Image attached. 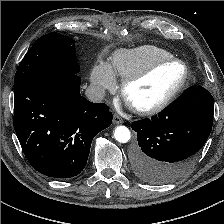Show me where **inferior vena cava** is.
Listing matches in <instances>:
<instances>
[{"mask_svg":"<svg viewBox=\"0 0 224 224\" xmlns=\"http://www.w3.org/2000/svg\"><path fill=\"white\" fill-rule=\"evenodd\" d=\"M85 95L91 102H100L105 97V90L99 85H90L86 89Z\"/></svg>","mask_w":224,"mask_h":224,"instance_id":"1","label":"inferior vena cava"}]
</instances>
